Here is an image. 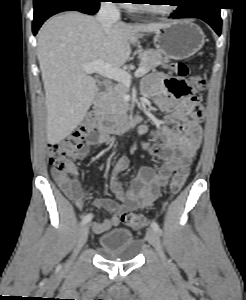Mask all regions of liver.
<instances>
[{"label": "liver", "instance_id": "1", "mask_svg": "<svg viewBox=\"0 0 246 300\" xmlns=\"http://www.w3.org/2000/svg\"><path fill=\"white\" fill-rule=\"evenodd\" d=\"M165 23L115 22L106 33L95 17L75 11L49 19L38 33L37 56L47 107V140L55 145L84 119L96 90L83 65L102 59L120 68L142 33L155 32Z\"/></svg>", "mask_w": 246, "mask_h": 300}]
</instances>
